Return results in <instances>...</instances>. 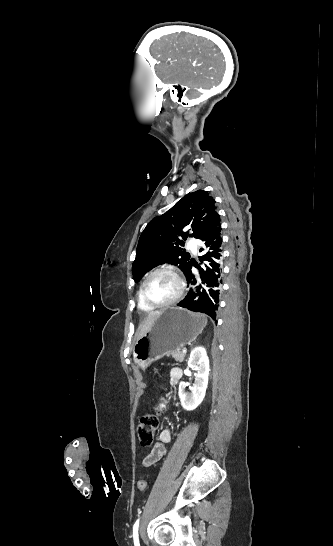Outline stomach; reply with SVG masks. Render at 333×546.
Segmentation results:
<instances>
[{"label": "stomach", "mask_w": 333, "mask_h": 546, "mask_svg": "<svg viewBox=\"0 0 333 546\" xmlns=\"http://www.w3.org/2000/svg\"><path fill=\"white\" fill-rule=\"evenodd\" d=\"M207 324L204 315L171 307L164 310L146 334L133 347V360L141 369L163 358L173 350L192 343Z\"/></svg>", "instance_id": "0dacf381"}]
</instances>
